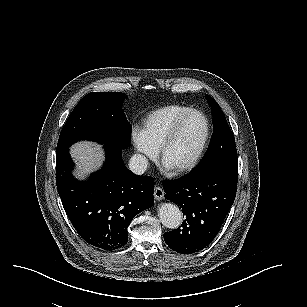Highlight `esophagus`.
Returning a JSON list of instances; mask_svg holds the SVG:
<instances>
[{"label":"esophagus","mask_w":307,"mask_h":307,"mask_svg":"<svg viewBox=\"0 0 307 307\" xmlns=\"http://www.w3.org/2000/svg\"><path fill=\"white\" fill-rule=\"evenodd\" d=\"M154 197L156 200H162L164 198V192L161 187L156 186L154 189Z\"/></svg>","instance_id":"1"}]
</instances>
